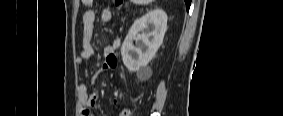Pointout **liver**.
<instances>
[{
	"label": "liver",
	"instance_id": "liver-1",
	"mask_svg": "<svg viewBox=\"0 0 283 116\" xmlns=\"http://www.w3.org/2000/svg\"><path fill=\"white\" fill-rule=\"evenodd\" d=\"M135 2L140 4H149L150 2H152V0H136Z\"/></svg>",
	"mask_w": 283,
	"mask_h": 116
}]
</instances>
